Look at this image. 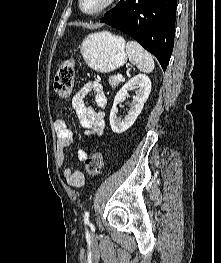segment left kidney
<instances>
[{
    "label": "left kidney",
    "instance_id": "1",
    "mask_svg": "<svg viewBox=\"0 0 221 263\" xmlns=\"http://www.w3.org/2000/svg\"><path fill=\"white\" fill-rule=\"evenodd\" d=\"M133 87L139 88L136 95L132 97V106L125 116L124 120H119L116 116L117 105L125 100L128 96V91ZM151 92V81L148 76L144 74H139L131 78L117 93L114 99L113 107L110 112V126L114 133H123L129 129L137 119L138 115L141 113L144 103L147 101L149 94Z\"/></svg>",
    "mask_w": 221,
    "mask_h": 263
}]
</instances>
